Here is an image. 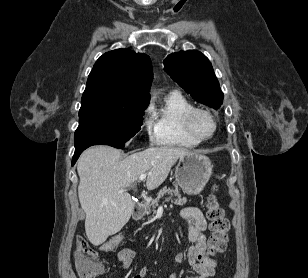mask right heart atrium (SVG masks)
<instances>
[{
  "label": "right heart atrium",
  "instance_id": "1",
  "mask_svg": "<svg viewBox=\"0 0 308 278\" xmlns=\"http://www.w3.org/2000/svg\"><path fill=\"white\" fill-rule=\"evenodd\" d=\"M143 128L145 132L147 133L149 139L151 141H155V134H154V124H153V119L150 116V108H146L145 114L143 117Z\"/></svg>",
  "mask_w": 308,
  "mask_h": 278
}]
</instances>
